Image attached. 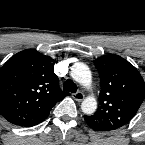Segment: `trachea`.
Here are the masks:
<instances>
[{
	"mask_svg": "<svg viewBox=\"0 0 145 145\" xmlns=\"http://www.w3.org/2000/svg\"><path fill=\"white\" fill-rule=\"evenodd\" d=\"M63 90L75 93L77 91V86L71 79H67L63 84Z\"/></svg>",
	"mask_w": 145,
	"mask_h": 145,
	"instance_id": "obj_1",
	"label": "trachea"
}]
</instances>
